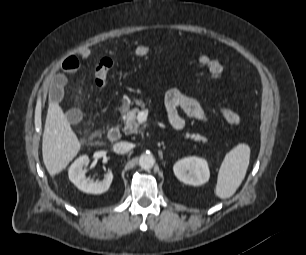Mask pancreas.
Segmentation results:
<instances>
[{"label": "pancreas", "mask_w": 306, "mask_h": 255, "mask_svg": "<svg viewBox=\"0 0 306 255\" xmlns=\"http://www.w3.org/2000/svg\"><path fill=\"white\" fill-rule=\"evenodd\" d=\"M141 106H144L143 104ZM140 110L139 108H133V109H129L128 107H126L123 110V120H124V128H123V132L127 135L129 134H133V133H138L139 132V124L137 122V113H139ZM184 137L186 139H191L195 142H203L206 143L208 141V139L198 133H185Z\"/></svg>", "instance_id": "cf45deb5"}]
</instances>
